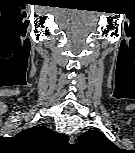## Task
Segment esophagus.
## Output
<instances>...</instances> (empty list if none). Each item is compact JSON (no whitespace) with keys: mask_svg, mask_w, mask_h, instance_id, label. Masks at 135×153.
<instances>
[{"mask_svg":"<svg viewBox=\"0 0 135 153\" xmlns=\"http://www.w3.org/2000/svg\"><path fill=\"white\" fill-rule=\"evenodd\" d=\"M75 142V137L73 136V135H71L70 137H69V143L70 144H73Z\"/></svg>","mask_w":135,"mask_h":153,"instance_id":"obj_1","label":"esophagus"}]
</instances>
